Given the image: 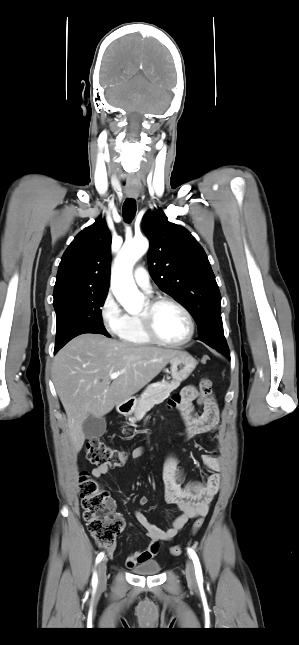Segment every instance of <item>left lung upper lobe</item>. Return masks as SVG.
Masks as SVG:
<instances>
[{"mask_svg":"<svg viewBox=\"0 0 299 645\" xmlns=\"http://www.w3.org/2000/svg\"><path fill=\"white\" fill-rule=\"evenodd\" d=\"M142 228L150 240L148 264L155 283L189 310L199 338L220 352L228 350L221 318V295L208 258L184 227L161 209L148 211Z\"/></svg>","mask_w":299,"mask_h":645,"instance_id":"left-lung-upper-lobe-1","label":"left lung upper lobe"}]
</instances>
